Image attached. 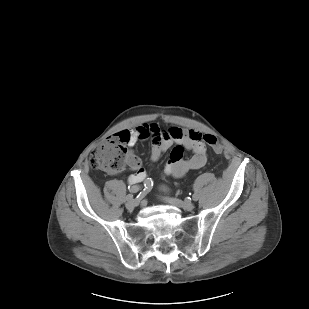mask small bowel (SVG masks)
Returning a JSON list of instances; mask_svg holds the SVG:
<instances>
[{
  "label": "small bowel",
  "mask_w": 309,
  "mask_h": 309,
  "mask_svg": "<svg viewBox=\"0 0 309 309\" xmlns=\"http://www.w3.org/2000/svg\"><path fill=\"white\" fill-rule=\"evenodd\" d=\"M118 136L125 138L129 147H133L140 139L152 138L151 159L153 161L158 160L163 152L175 145L163 169L164 175L173 178H181L190 170L200 169L207 161L203 135L193 129L185 130L172 125L163 130L157 123H144L134 130L120 131ZM185 150L192 152L191 157L184 158ZM126 162L128 168L134 171L128 179L129 183L135 184L143 181L146 171L142 167L141 160L132 151L128 152Z\"/></svg>",
  "instance_id": "small-bowel-1"
}]
</instances>
